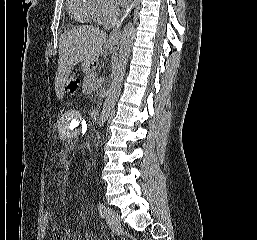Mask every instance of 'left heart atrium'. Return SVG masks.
<instances>
[{"instance_id":"left-heart-atrium-1","label":"left heart atrium","mask_w":257,"mask_h":240,"mask_svg":"<svg viewBox=\"0 0 257 240\" xmlns=\"http://www.w3.org/2000/svg\"><path fill=\"white\" fill-rule=\"evenodd\" d=\"M118 5H126L130 0H114Z\"/></svg>"}]
</instances>
